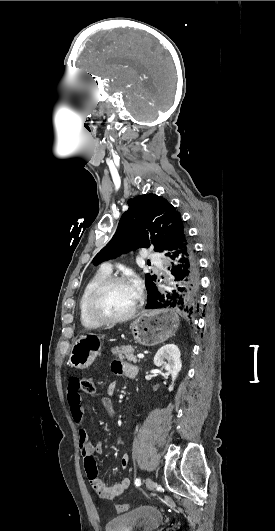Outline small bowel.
<instances>
[{
  "label": "small bowel",
  "mask_w": 275,
  "mask_h": 531,
  "mask_svg": "<svg viewBox=\"0 0 275 531\" xmlns=\"http://www.w3.org/2000/svg\"><path fill=\"white\" fill-rule=\"evenodd\" d=\"M112 371L116 375H123L126 377H134L137 374V367L131 363L115 359L112 362ZM65 383L64 392L67 394V401L70 406V414L73 423L78 428L79 450L84 458V467L87 478L89 479L93 489L97 495L104 500H112L130 486V479L123 477L119 482L112 486L106 485L98 476L95 456L103 452V445L100 441L92 443L89 441L88 432L85 428V412L79 396L81 392L80 382L82 377L80 373H69ZM117 383H112L107 389V396L101 399L102 405L106 411L113 416L115 409L111 401V396L115 392ZM122 468L127 469L130 465V454L124 453L120 459Z\"/></svg>",
  "instance_id": "c3829d8e"
}]
</instances>
